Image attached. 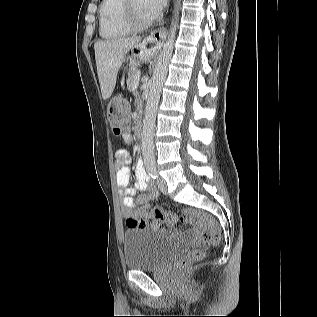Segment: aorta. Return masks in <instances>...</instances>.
I'll list each match as a JSON object with an SVG mask.
<instances>
[{"label": "aorta", "mask_w": 317, "mask_h": 317, "mask_svg": "<svg viewBox=\"0 0 317 317\" xmlns=\"http://www.w3.org/2000/svg\"><path fill=\"white\" fill-rule=\"evenodd\" d=\"M180 1L181 0H177V3L175 5V20H173L172 22L168 40L164 43L162 47L157 63L153 69V76L149 82V94L145 108V117L143 120V130L141 138L143 159L147 167H153L155 165L153 137L156 113L161 90L166 80L168 66L173 54L174 41L178 27Z\"/></svg>", "instance_id": "1"}]
</instances>
